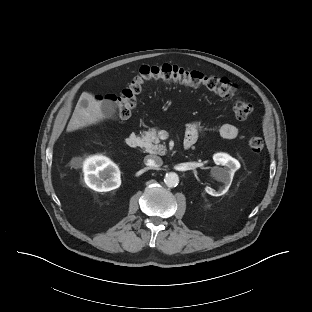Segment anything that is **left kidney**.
Wrapping results in <instances>:
<instances>
[{
	"instance_id": "1",
	"label": "left kidney",
	"mask_w": 312,
	"mask_h": 312,
	"mask_svg": "<svg viewBox=\"0 0 312 312\" xmlns=\"http://www.w3.org/2000/svg\"><path fill=\"white\" fill-rule=\"evenodd\" d=\"M213 160L216 165L224 166L223 168L214 167V169L212 170V176L216 180L223 182L224 188L219 191H216L211 187L207 186L205 188V191L212 196H221L228 191L232 183L234 173L240 168V163L238 162V160L232 158L231 156L225 153L214 154Z\"/></svg>"
}]
</instances>
